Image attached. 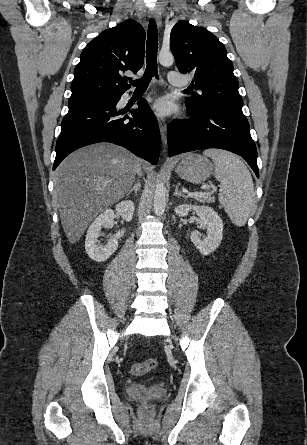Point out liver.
<instances>
[{"label": "liver", "instance_id": "liver-1", "mask_svg": "<svg viewBox=\"0 0 307 445\" xmlns=\"http://www.w3.org/2000/svg\"><path fill=\"white\" fill-rule=\"evenodd\" d=\"M138 158L123 146L97 142L71 152L54 178V198L69 243H77L91 220L129 192Z\"/></svg>", "mask_w": 307, "mask_h": 445}]
</instances>
